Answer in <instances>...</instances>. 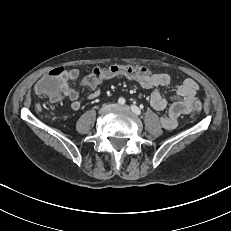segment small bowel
Masks as SVG:
<instances>
[{"instance_id":"1","label":"small bowel","mask_w":231,"mask_h":231,"mask_svg":"<svg viewBox=\"0 0 231 231\" xmlns=\"http://www.w3.org/2000/svg\"><path fill=\"white\" fill-rule=\"evenodd\" d=\"M146 71H149L146 69ZM150 72V71H149ZM80 71L77 68L63 70L57 77V83L60 88L61 96L70 101L73 110H79L82 107L79 101L78 92L71 86V83L78 79ZM171 76L167 73L145 75L136 79L135 84L143 91H151L156 88L168 87L171 84ZM198 84L191 78L185 79L176 89L175 98L169 101L160 91H154L150 96V105L157 111L167 110V113L161 117V124L166 130H173L177 126L178 118L182 115L193 112L188 104L192 99H197ZM100 95V89L95 86L87 95V99L93 100ZM199 101V100H198Z\"/></svg>"}]
</instances>
